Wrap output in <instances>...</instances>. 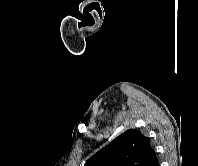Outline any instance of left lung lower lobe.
<instances>
[{"instance_id":"0a47b994","label":"left lung lower lobe","mask_w":198,"mask_h":166,"mask_svg":"<svg viewBox=\"0 0 198 166\" xmlns=\"http://www.w3.org/2000/svg\"><path fill=\"white\" fill-rule=\"evenodd\" d=\"M151 166H160V165H159V161H158L157 158H156L155 161L151 164Z\"/></svg>"}]
</instances>
